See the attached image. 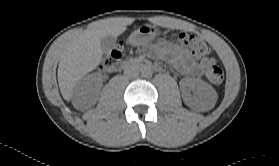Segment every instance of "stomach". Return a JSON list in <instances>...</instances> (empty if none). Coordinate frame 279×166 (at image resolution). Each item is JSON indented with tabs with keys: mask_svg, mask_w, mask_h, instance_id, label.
I'll return each mask as SVG.
<instances>
[{
	"mask_svg": "<svg viewBox=\"0 0 279 166\" xmlns=\"http://www.w3.org/2000/svg\"><path fill=\"white\" fill-rule=\"evenodd\" d=\"M159 34V30L152 25H143L135 29L127 39L131 46H141L151 43Z\"/></svg>",
	"mask_w": 279,
	"mask_h": 166,
	"instance_id": "1",
	"label": "stomach"
}]
</instances>
